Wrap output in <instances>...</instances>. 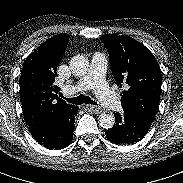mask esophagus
Masks as SVG:
<instances>
[{"label":"esophagus","instance_id":"esophagus-1","mask_svg":"<svg viewBox=\"0 0 183 183\" xmlns=\"http://www.w3.org/2000/svg\"><path fill=\"white\" fill-rule=\"evenodd\" d=\"M84 108H85L86 110L92 111V112H94V113H96V114H99V113H101V112L103 111L101 107H99V106H94V105H85Z\"/></svg>","mask_w":183,"mask_h":183}]
</instances>
